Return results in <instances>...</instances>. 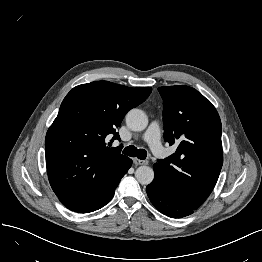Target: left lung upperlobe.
I'll use <instances>...</instances> for the list:
<instances>
[{
	"label": "left lung upper lobe",
	"instance_id": "left-lung-upper-lobe-1",
	"mask_svg": "<svg viewBox=\"0 0 262 262\" xmlns=\"http://www.w3.org/2000/svg\"><path fill=\"white\" fill-rule=\"evenodd\" d=\"M164 139L177 151L154 169L180 202L198 209L212 192L222 164L221 121L215 107L189 86L159 87Z\"/></svg>",
	"mask_w": 262,
	"mask_h": 262
}]
</instances>
